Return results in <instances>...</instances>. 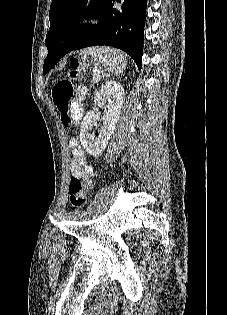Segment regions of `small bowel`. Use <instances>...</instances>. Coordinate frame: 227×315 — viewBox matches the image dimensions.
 Masks as SVG:
<instances>
[{
	"mask_svg": "<svg viewBox=\"0 0 227 315\" xmlns=\"http://www.w3.org/2000/svg\"><path fill=\"white\" fill-rule=\"evenodd\" d=\"M86 93L87 91L84 87H79L77 90V99L72 104L73 109L75 111H78L79 116L81 115L82 112L81 101L85 98ZM69 146L72 152V159L70 164L72 175L80 177L82 174L81 172L82 169L83 173L85 174L87 186L88 188H91L92 186L91 177L93 174V169L91 166H88L86 164L85 155L80 147L78 139L72 138L69 142Z\"/></svg>",
	"mask_w": 227,
	"mask_h": 315,
	"instance_id": "1",
	"label": "small bowel"
}]
</instances>
